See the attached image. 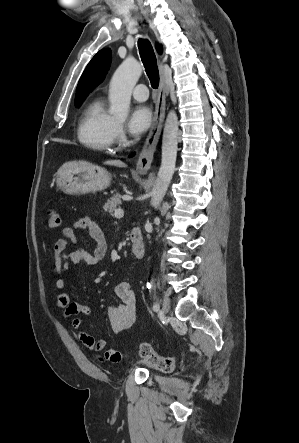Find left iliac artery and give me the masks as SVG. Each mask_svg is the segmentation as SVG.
Instances as JSON below:
<instances>
[{
    "mask_svg": "<svg viewBox=\"0 0 299 443\" xmlns=\"http://www.w3.org/2000/svg\"><path fill=\"white\" fill-rule=\"evenodd\" d=\"M159 309V304L158 303H155L154 305H153V310L154 311H157Z\"/></svg>",
    "mask_w": 299,
    "mask_h": 443,
    "instance_id": "obj_1",
    "label": "left iliac artery"
}]
</instances>
